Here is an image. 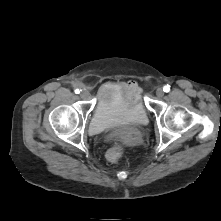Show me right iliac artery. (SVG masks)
<instances>
[{
	"instance_id": "1",
	"label": "right iliac artery",
	"mask_w": 221,
	"mask_h": 221,
	"mask_svg": "<svg viewBox=\"0 0 221 221\" xmlns=\"http://www.w3.org/2000/svg\"><path fill=\"white\" fill-rule=\"evenodd\" d=\"M75 93H76V94H79V93H80V90H79V89H76V90H75Z\"/></svg>"
}]
</instances>
